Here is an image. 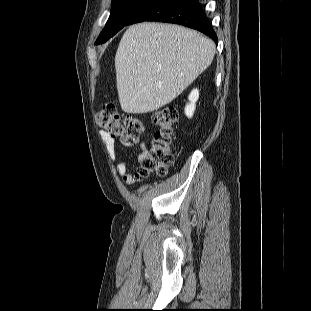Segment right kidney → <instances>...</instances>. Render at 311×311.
Instances as JSON below:
<instances>
[{"mask_svg": "<svg viewBox=\"0 0 311 311\" xmlns=\"http://www.w3.org/2000/svg\"><path fill=\"white\" fill-rule=\"evenodd\" d=\"M198 98H199V91L197 89H193L188 97L189 103L185 107V115L188 118H191L193 116L196 106L195 103L198 100Z\"/></svg>", "mask_w": 311, "mask_h": 311, "instance_id": "ca27d5eb", "label": "right kidney"}]
</instances>
